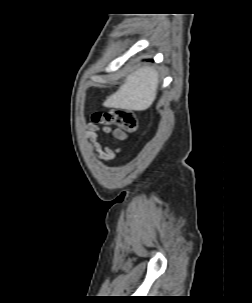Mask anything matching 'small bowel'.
<instances>
[{"mask_svg": "<svg viewBox=\"0 0 252 303\" xmlns=\"http://www.w3.org/2000/svg\"><path fill=\"white\" fill-rule=\"evenodd\" d=\"M103 134H111V136L118 141H123L126 137L125 132L122 129L111 127H104L101 130L94 125H89L84 130L85 141L88 149L103 162L112 161L118 153L121 152V147H108L103 145L97 137L98 132Z\"/></svg>", "mask_w": 252, "mask_h": 303, "instance_id": "c3829d8e", "label": "small bowel"}]
</instances>
